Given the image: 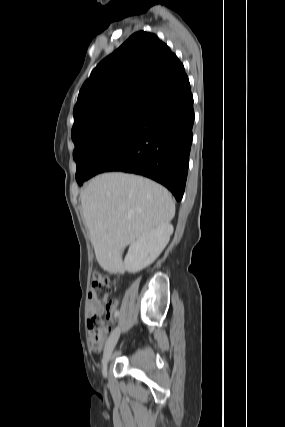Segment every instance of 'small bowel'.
Listing matches in <instances>:
<instances>
[{
  "mask_svg": "<svg viewBox=\"0 0 285 427\" xmlns=\"http://www.w3.org/2000/svg\"><path fill=\"white\" fill-rule=\"evenodd\" d=\"M119 302L118 300H113L109 303V305L106 307L107 310V317L109 319L112 318V315L116 312L118 309ZM105 312V307L102 303H98L95 301H89L88 303V314L89 316H101Z\"/></svg>",
  "mask_w": 285,
  "mask_h": 427,
  "instance_id": "obj_1",
  "label": "small bowel"
}]
</instances>
